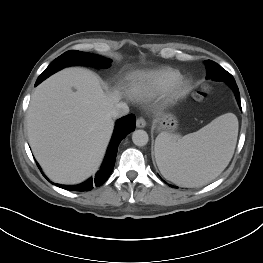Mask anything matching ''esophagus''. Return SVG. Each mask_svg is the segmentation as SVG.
Masks as SVG:
<instances>
[{"instance_id": "34e87169", "label": "esophagus", "mask_w": 263, "mask_h": 263, "mask_svg": "<svg viewBox=\"0 0 263 263\" xmlns=\"http://www.w3.org/2000/svg\"><path fill=\"white\" fill-rule=\"evenodd\" d=\"M136 126H137L138 128H144V127L146 126V121H145V119L142 118V117L138 118L137 121H136Z\"/></svg>"}]
</instances>
